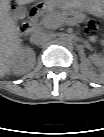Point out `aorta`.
I'll list each match as a JSON object with an SVG mask.
<instances>
[{
  "mask_svg": "<svg viewBox=\"0 0 104 137\" xmlns=\"http://www.w3.org/2000/svg\"><path fill=\"white\" fill-rule=\"evenodd\" d=\"M58 41L63 46H71L73 45V42H74L73 38L68 34L61 35L58 38Z\"/></svg>",
  "mask_w": 104,
  "mask_h": 137,
  "instance_id": "obj_1",
  "label": "aorta"
}]
</instances>
